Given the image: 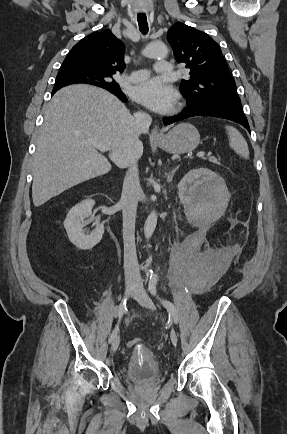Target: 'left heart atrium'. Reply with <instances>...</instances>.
Returning a JSON list of instances; mask_svg holds the SVG:
<instances>
[{
	"mask_svg": "<svg viewBox=\"0 0 287 434\" xmlns=\"http://www.w3.org/2000/svg\"><path fill=\"white\" fill-rule=\"evenodd\" d=\"M132 97L138 103L159 113L170 111L177 101L175 90L159 78H153L135 86Z\"/></svg>",
	"mask_w": 287,
	"mask_h": 434,
	"instance_id": "1",
	"label": "left heart atrium"
}]
</instances>
